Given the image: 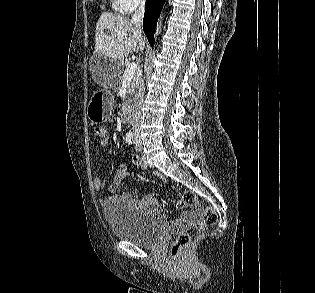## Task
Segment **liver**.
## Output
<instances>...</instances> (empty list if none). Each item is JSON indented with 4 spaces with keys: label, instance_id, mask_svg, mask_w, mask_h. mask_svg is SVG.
Returning <instances> with one entry per match:
<instances>
[{
    "label": "liver",
    "instance_id": "obj_1",
    "mask_svg": "<svg viewBox=\"0 0 315 293\" xmlns=\"http://www.w3.org/2000/svg\"><path fill=\"white\" fill-rule=\"evenodd\" d=\"M138 41L139 46L144 47L141 33L128 18L110 12L101 14L95 30V54L122 61L135 51Z\"/></svg>",
    "mask_w": 315,
    "mask_h": 293
}]
</instances>
